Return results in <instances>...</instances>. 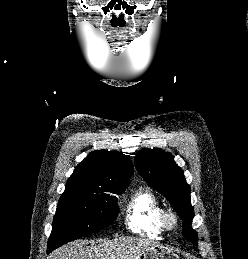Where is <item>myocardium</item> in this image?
<instances>
[{"label":"myocardium","mask_w":248,"mask_h":259,"mask_svg":"<svg viewBox=\"0 0 248 259\" xmlns=\"http://www.w3.org/2000/svg\"><path fill=\"white\" fill-rule=\"evenodd\" d=\"M162 219L168 230H172L178 225V216L173 210H164Z\"/></svg>","instance_id":"f54148a6"}]
</instances>
